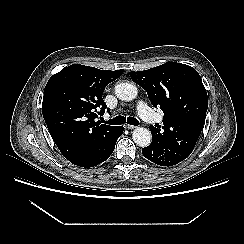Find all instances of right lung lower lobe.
Wrapping results in <instances>:
<instances>
[{"label":"right lung lower lobe","instance_id":"obj_1","mask_svg":"<svg viewBox=\"0 0 244 244\" xmlns=\"http://www.w3.org/2000/svg\"><path fill=\"white\" fill-rule=\"evenodd\" d=\"M123 127L118 126L117 129L114 131L112 138L110 141L106 144V146L96 155L91 156V157H84V158H79L75 160H71L73 164L80 166V167H94L105 160L109 158V156L112 154L115 148V144L117 139L122 135L123 133Z\"/></svg>","mask_w":244,"mask_h":244}]
</instances>
